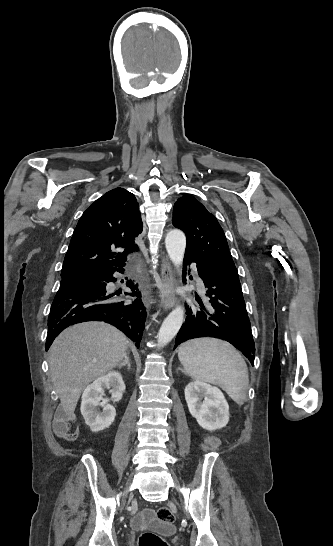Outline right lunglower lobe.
<instances>
[{"mask_svg":"<svg viewBox=\"0 0 333 546\" xmlns=\"http://www.w3.org/2000/svg\"><path fill=\"white\" fill-rule=\"evenodd\" d=\"M116 271L123 273L124 269L91 276L59 288L48 317L46 350L66 327L86 321L112 324L139 347L147 315L141 301V292L137 284L128 280L126 286L131 292H126L125 295L136 296L135 300L120 301L113 294H108L106 285L116 281L113 277Z\"/></svg>","mask_w":333,"mask_h":546,"instance_id":"98d812e1","label":"right lung lower lobe"}]
</instances>
